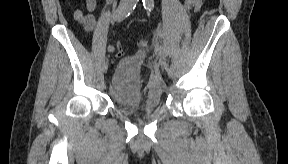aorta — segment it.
<instances>
[{"label":"aorta","mask_w":288,"mask_h":164,"mask_svg":"<svg viewBox=\"0 0 288 164\" xmlns=\"http://www.w3.org/2000/svg\"><path fill=\"white\" fill-rule=\"evenodd\" d=\"M144 6L152 10V8H154V0H144Z\"/></svg>","instance_id":"aorta-1"}]
</instances>
